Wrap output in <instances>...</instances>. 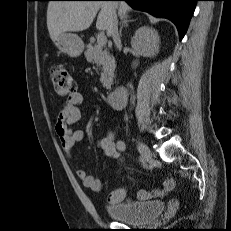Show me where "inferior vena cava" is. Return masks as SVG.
Listing matches in <instances>:
<instances>
[{
  "label": "inferior vena cava",
  "mask_w": 231,
  "mask_h": 231,
  "mask_svg": "<svg viewBox=\"0 0 231 231\" xmlns=\"http://www.w3.org/2000/svg\"><path fill=\"white\" fill-rule=\"evenodd\" d=\"M117 16L116 14L113 15L112 17V21H111V35L112 38L114 40L115 45L118 47L119 43H120V37H119V33H118V25H117Z\"/></svg>",
  "instance_id": "602c4592"
}]
</instances>
